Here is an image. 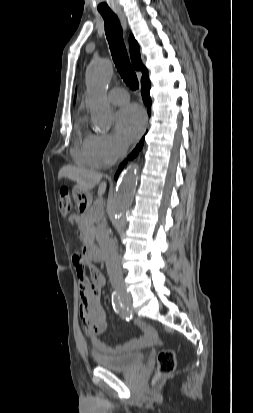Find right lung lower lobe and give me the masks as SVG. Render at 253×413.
Listing matches in <instances>:
<instances>
[{
  "label": "right lung lower lobe",
  "instance_id": "right-lung-lower-lobe-1",
  "mask_svg": "<svg viewBox=\"0 0 253 413\" xmlns=\"http://www.w3.org/2000/svg\"><path fill=\"white\" fill-rule=\"evenodd\" d=\"M150 86H151V82L148 78V73L143 75L141 78V92H142V97H143V101L145 103V105L147 106V110H148V114H151V99L149 96V90H150ZM143 147V141L141 140L139 145H137L136 149L133 150V152L128 156V158L124 161V163H122L119 167V170L115 176V178L117 179L119 172L121 170V168L124 166V164L128 161L133 159L134 157L137 156L139 150H141V148Z\"/></svg>",
  "mask_w": 253,
  "mask_h": 413
}]
</instances>
